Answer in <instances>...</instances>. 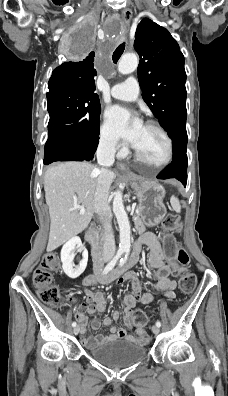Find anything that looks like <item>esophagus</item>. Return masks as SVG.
I'll return each instance as SVG.
<instances>
[{"label": "esophagus", "instance_id": "1", "mask_svg": "<svg viewBox=\"0 0 228 396\" xmlns=\"http://www.w3.org/2000/svg\"><path fill=\"white\" fill-rule=\"evenodd\" d=\"M122 17H123V20H124V23H125V25H124V27L122 29V33L125 36L127 34V27H128L129 22H130V20L132 18V11L129 8L124 9L122 11ZM116 166H117V168L119 170L124 171V172H126L128 174H132L126 164H124L122 162H117Z\"/></svg>", "mask_w": 228, "mask_h": 396}]
</instances>
